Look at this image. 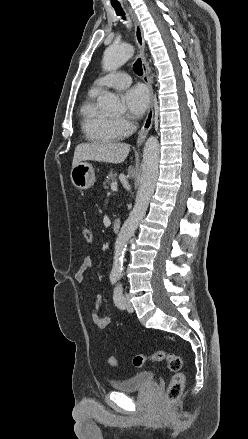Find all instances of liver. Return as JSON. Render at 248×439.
<instances>
[{"label":"liver","instance_id":"1","mask_svg":"<svg viewBox=\"0 0 248 439\" xmlns=\"http://www.w3.org/2000/svg\"><path fill=\"white\" fill-rule=\"evenodd\" d=\"M130 151V146L117 142L81 143L76 146L72 167L82 161L122 163Z\"/></svg>","mask_w":248,"mask_h":439}]
</instances>
